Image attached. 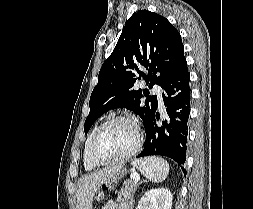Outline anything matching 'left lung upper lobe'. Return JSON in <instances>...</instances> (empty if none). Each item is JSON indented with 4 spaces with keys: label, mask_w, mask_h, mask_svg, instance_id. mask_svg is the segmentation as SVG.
I'll return each mask as SVG.
<instances>
[{
    "label": "left lung upper lobe",
    "mask_w": 253,
    "mask_h": 209,
    "mask_svg": "<svg viewBox=\"0 0 253 209\" xmlns=\"http://www.w3.org/2000/svg\"><path fill=\"white\" fill-rule=\"evenodd\" d=\"M184 58L181 36L166 18L148 10L135 12L100 69L90 97L85 134L101 115L122 107L138 114L146 129L155 116L157 97L149 96L148 90H134L133 86L142 76L150 89L154 84L162 87ZM143 97L145 103H141Z\"/></svg>",
    "instance_id": "obj_1"
}]
</instances>
